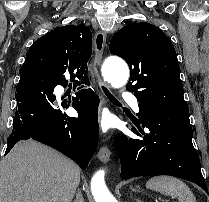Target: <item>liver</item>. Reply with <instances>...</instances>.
<instances>
[{
    "label": "liver",
    "mask_w": 209,
    "mask_h": 202,
    "mask_svg": "<svg viewBox=\"0 0 209 202\" xmlns=\"http://www.w3.org/2000/svg\"><path fill=\"white\" fill-rule=\"evenodd\" d=\"M79 167L36 141H21L0 164V202H71Z\"/></svg>",
    "instance_id": "liver-1"
}]
</instances>
